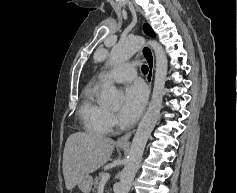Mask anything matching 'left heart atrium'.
Returning a JSON list of instances; mask_svg holds the SVG:
<instances>
[{
  "label": "left heart atrium",
  "instance_id": "1",
  "mask_svg": "<svg viewBox=\"0 0 237 193\" xmlns=\"http://www.w3.org/2000/svg\"><path fill=\"white\" fill-rule=\"evenodd\" d=\"M147 89L142 82H134L124 90L120 118L125 123L134 122L141 114L146 101Z\"/></svg>",
  "mask_w": 237,
  "mask_h": 193
}]
</instances>
